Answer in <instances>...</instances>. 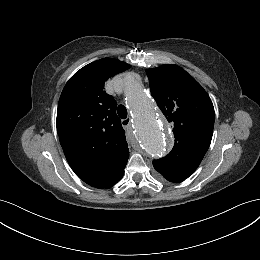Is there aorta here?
Here are the masks:
<instances>
[{
  "mask_svg": "<svg viewBox=\"0 0 260 260\" xmlns=\"http://www.w3.org/2000/svg\"><path fill=\"white\" fill-rule=\"evenodd\" d=\"M124 87L128 104L135 115V130L142 147L153 158L164 156L170 148V141L158 120L154 104L134 74L126 76Z\"/></svg>",
  "mask_w": 260,
  "mask_h": 260,
  "instance_id": "obj_1",
  "label": "aorta"
}]
</instances>
